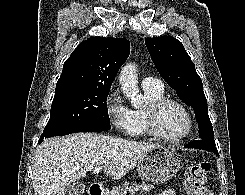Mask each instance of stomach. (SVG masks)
Listing matches in <instances>:
<instances>
[{
	"label": "stomach",
	"mask_w": 245,
	"mask_h": 195,
	"mask_svg": "<svg viewBox=\"0 0 245 195\" xmlns=\"http://www.w3.org/2000/svg\"><path fill=\"white\" fill-rule=\"evenodd\" d=\"M181 168V159L172 147H159L146 152L138 160V175L145 181L163 183Z\"/></svg>",
	"instance_id": "1"
}]
</instances>
